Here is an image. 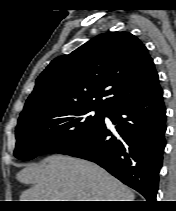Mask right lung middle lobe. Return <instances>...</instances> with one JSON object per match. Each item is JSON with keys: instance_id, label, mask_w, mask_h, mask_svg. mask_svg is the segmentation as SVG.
<instances>
[{"instance_id": "dd1d6c3e", "label": "right lung middle lobe", "mask_w": 176, "mask_h": 211, "mask_svg": "<svg viewBox=\"0 0 176 211\" xmlns=\"http://www.w3.org/2000/svg\"><path fill=\"white\" fill-rule=\"evenodd\" d=\"M89 107L51 109L19 118L14 155L31 160L59 152L82 139L104 121L106 112Z\"/></svg>"}]
</instances>
